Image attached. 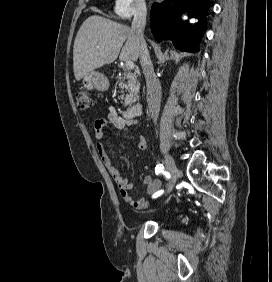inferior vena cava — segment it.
<instances>
[{"label": "inferior vena cava", "instance_id": "1", "mask_svg": "<svg viewBox=\"0 0 272 282\" xmlns=\"http://www.w3.org/2000/svg\"><path fill=\"white\" fill-rule=\"evenodd\" d=\"M146 16V3L143 0L139 1L135 7L131 30L134 32L140 43V63L146 79L147 104L149 112L151 113V117L156 124L161 104V85L154 73V68L150 60L146 41L144 39Z\"/></svg>", "mask_w": 272, "mask_h": 282}]
</instances>
